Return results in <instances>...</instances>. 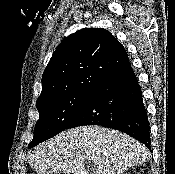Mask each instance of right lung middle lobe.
<instances>
[{
  "mask_svg": "<svg viewBox=\"0 0 175 174\" xmlns=\"http://www.w3.org/2000/svg\"><path fill=\"white\" fill-rule=\"evenodd\" d=\"M94 86L66 91L36 102L39 120L34 129V138L28 148L52 138L68 128L79 113Z\"/></svg>",
  "mask_w": 175,
  "mask_h": 174,
  "instance_id": "1",
  "label": "right lung middle lobe"
}]
</instances>
